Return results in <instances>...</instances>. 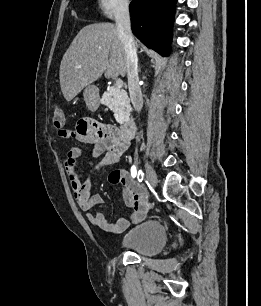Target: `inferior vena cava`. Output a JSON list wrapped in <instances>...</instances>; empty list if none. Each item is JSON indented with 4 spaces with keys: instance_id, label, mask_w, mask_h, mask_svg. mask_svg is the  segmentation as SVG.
<instances>
[{
    "instance_id": "602c4592",
    "label": "inferior vena cava",
    "mask_w": 261,
    "mask_h": 306,
    "mask_svg": "<svg viewBox=\"0 0 261 306\" xmlns=\"http://www.w3.org/2000/svg\"><path fill=\"white\" fill-rule=\"evenodd\" d=\"M116 31L121 39L127 57V78L131 103L136 112L143 107V97L138 78V57L131 31L129 2L119 5L115 14Z\"/></svg>"
}]
</instances>
